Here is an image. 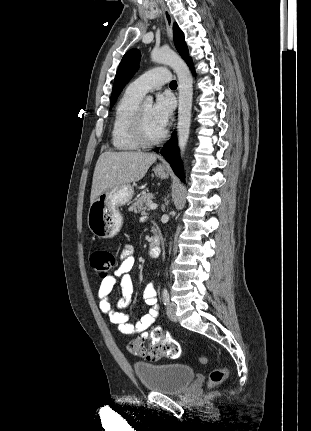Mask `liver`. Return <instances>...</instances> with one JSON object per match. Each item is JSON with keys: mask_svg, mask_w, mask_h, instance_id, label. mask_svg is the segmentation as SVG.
<instances>
[{"mask_svg": "<svg viewBox=\"0 0 311 431\" xmlns=\"http://www.w3.org/2000/svg\"><path fill=\"white\" fill-rule=\"evenodd\" d=\"M157 154L144 152H104L95 166L90 204L119 184H135L146 176L150 166L156 162Z\"/></svg>", "mask_w": 311, "mask_h": 431, "instance_id": "obj_1", "label": "liver"}]
</instances>
